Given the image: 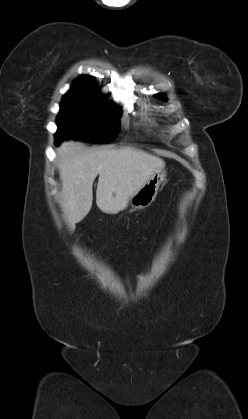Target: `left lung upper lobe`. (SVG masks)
Listing matches in <instances>:
<instances>
[{
    "mask_svg": "<svg viewBox=\"0 0 248 419\" xmlns=\"http://www.w3.org/2000/svg\"><path fill=\"white\" fill-rule=\"evenodd\" d=\"M158 95H159V94H157V95H156L158 98L163 99V100H166V98H165V97H159Z\"/></svg>",
    "mask_w": 248,
    "mask_h": 419,
    "instance_id": "obj_1",
    "label": "left lung upper lobe"
}]
</instances>
